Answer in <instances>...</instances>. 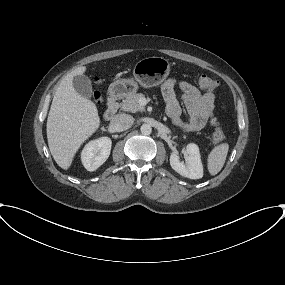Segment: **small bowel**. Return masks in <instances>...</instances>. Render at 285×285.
<instances>
[{
  "label": "small bowel",
  "instance_id": "small-bowel-1",
  "mask_svg": "<svg viewBox=\"0 0 285 285\" xmlns=\"http://www.w3.org/2000/svg\"><path fill=\"white\" fill-rule=\"evenodd\" d=\"M182 92V101L190 115L187 122L181 119V107L176 98L175 89ZM166 102V113L174 124L187 131H199L207 125H215L213 114L215 95L212 92L201 93L194 85L174 78L166 80L161 88Z\"/></svg>",
  "mask_w": 285,
  "mask_h": 285
}]
</instances>
